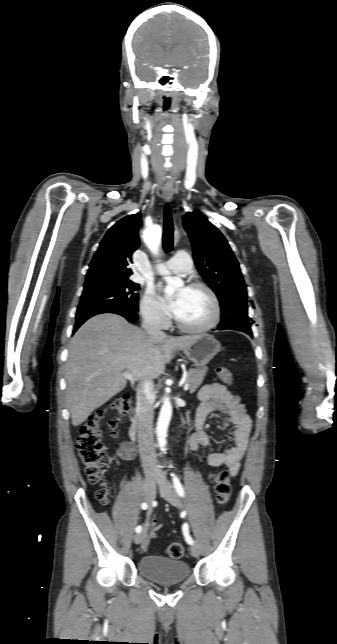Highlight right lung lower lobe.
<instances>
[{
	"mask_svg": "<svg viewBox=\"0 0 337 644\" xmlns=\"http://www.w3.org/2000/svg\"><path fill=\"white\" fill-rule=\"evenodd\" d=\"M137 312H138V310L130 311V310H126V309H107V310H102V311H99V312H96V313H93V314H90V315L82 316V317L76 318V323L74 325L73 332H75L80 327V325H82L87 319H89L90 317L95 316L97 314L114 313V314H118V315H121V316L125 317L129 322H135L137 320V318H138Z\"/></svg>",
	"mask_w": 337,
	"mask_h": 644,
	"instance_id": "obj_1",
	"label": "right lung lower lobe"
}]
</instances>
